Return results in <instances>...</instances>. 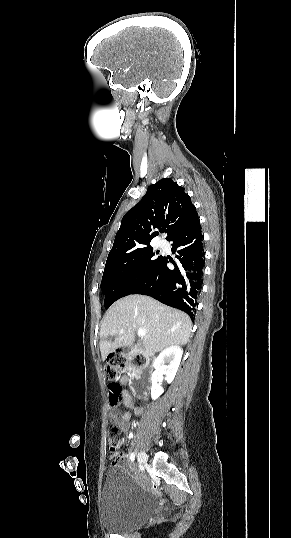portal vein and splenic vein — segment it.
<instances>
[{"label":"portal vein and splenic vein","mask_w":291,"mask_h":538,"mask_svg":"<svg viewBox=\"0 0 291 538\" xmlns=\"http://www.w3.org/2000/svg\"><path fill=\"white\" fill-rule=\"evenodd\" d=\"M122 332H123V330H120V333H122ZM145 334H146V332H145L144 329H138V336L139 337H143V336H145Z\"/></svg>","instance_id":"1"}]
</instances>
